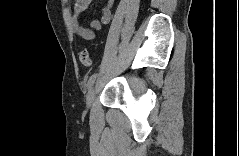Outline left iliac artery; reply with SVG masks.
<instances>
[{
  "label": "left iliac artery",
  "instance_id": "44dca946",
  "mask_svg": "<svg viewBox=\"0 0 239 156\" xmlns=\"http://www.w3.org/2000/svg\"><path fill=\"white\" fill-rule=\"evenodd\" d=\"M97 75H98V74H93V75L90 76V78L88 79V82H87V88H88V89H90V88L93 86V84H94V82H95V80H96V78H97Z\"/></svg>",
  "mask_w": 239,
  "mask_h": 156
}]
</instances>
